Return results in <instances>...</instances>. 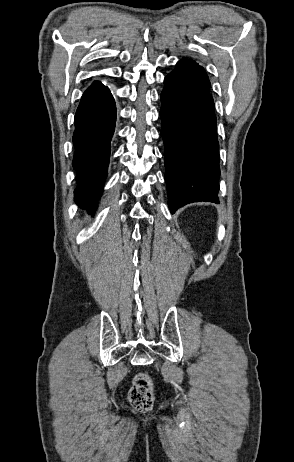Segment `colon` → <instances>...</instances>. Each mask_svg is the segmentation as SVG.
<instances>
[{
    "instance_id": "colon-1",
    "label": "colon",
    "mask_w": 294,
    "mask_h": 462,
    "mask_svg": "<svg viewBox=\"0 0 294 462\" xmlns=\"http://www.w3.org/2000/svg\"><path fill=\"white\" fill-rule=\"evenodd\" d=\"M129 401L139 411H148L153 406V383L145 373H138L129 391Z\"/></svg>"
}]
</instances>
